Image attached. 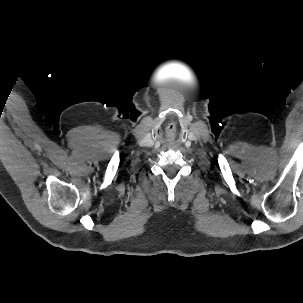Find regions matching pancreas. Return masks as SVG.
Returning <instances> with one entry per match:
<instances>
[{
    "mask_svg": "<svg viewBox=\"0 0 303 303\" xmlns=\"http://www.w3.org/2000/svg\"><path fill=\"white\" fill-rule=\"evenodd\" d=\"M28 135L32 138H36V136H34L33 134H28Z\"/></svg>",
    "mask_w": 303,
    "mask_h": 303,
    "instance_id": "obj_1",
    "label": "pancreas"
}]
</instances>
